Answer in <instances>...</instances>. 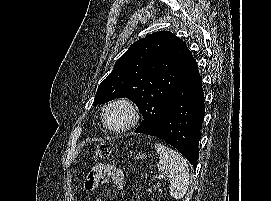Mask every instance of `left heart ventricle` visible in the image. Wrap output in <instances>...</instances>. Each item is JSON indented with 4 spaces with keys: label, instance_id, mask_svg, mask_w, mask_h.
Listing matches in <instances>:
<instances>
[{
    "label": "left heart ventricle",
    "instance_id": "1",
    "mask_svg": "<svg viewBox=\"0 0 271 201\" xmlns=\"http://www.w3.org/2000/svg\"><path fill=\"white\" fill-rule=\"evenodd\" d=\"M130 120L129 111L121 105L111 107L106 113L107 123L115 128L124 126Z\"/></svg>",
    "mask_w": 271,
    "mask_h": 201
}]
</instances>
